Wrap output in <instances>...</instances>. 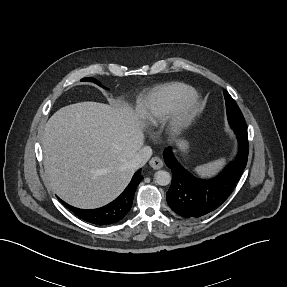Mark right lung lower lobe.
I'll return each instance as SVG.
<instances>
[{
	"label": "right lung lower lobe",
	"mask_w": 287,
	"mask_h": 287,
	"mask_svg": "<svg viewBox=\"0 0 287 287\" xmlns=\"http://www.w3.org/2000/svg\"><path fill=\"white\" fill-rule=\"evenodd\" d=\"M142 179L140 169L134 174L129 185L117 199L98 209L84 210L70 206L64 201H62V203L82 220L100 226L111 225L119 222L129 212L136 188Z\"/></svg>",
	"instance_id": "1"
}]
</instances>
